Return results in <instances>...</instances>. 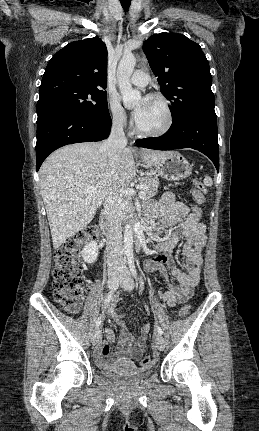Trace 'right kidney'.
I'll list each match as a JSON object with an SVG mask.
<instances>
[{"mask_svg": "<svg viewBox=\"0 0 259 431\" xmlns=\"http://www.w3.org/2000/svg\"><path fill=\"white\" fill-rule=\"evenodd\" d=\"M82 257L85 262L94 263L98 257V245L96 241H90L82 250Z\"/></svg>", "mask_w": 259, "mask_h": 431, "instance_id": "ca27d5eb", "label": "right kidney"}]
</instances>
